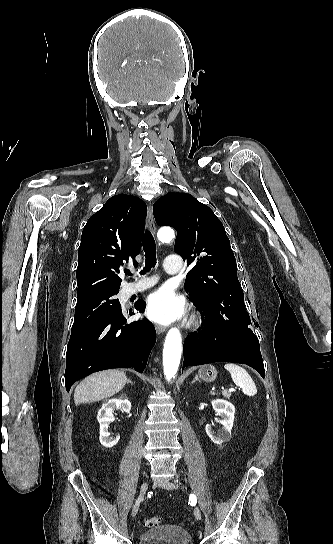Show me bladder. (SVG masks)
Instances as JSON below:
<instances>
[{"label":"bladder","mask_w":333,"mask_h":544,"mask_svg":"<svg viewBox=\"0 0 333 544\" xmlns=\"http://www.w3.org/2000/svg\"><path fill=\"white\" fill-rule=\"evenodd\" d=\"M138 544H193V539L180 526L164 525L141 533Z\"/></svg>","instance_id":"bladder-1"}]
</instances>
